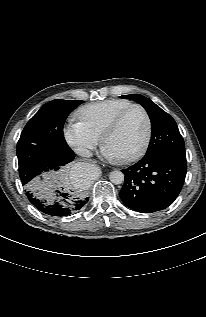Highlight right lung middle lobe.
Listing matches in <instances>:
<instances>
[{
  "label": "right lung middle lobe",
  "instance_id": "dd1d6c3e",
  "mask_svg": "<svg viewBox=\"0 0 206 317\" xmlns=\"http://www.w3.org/2000/svg\"><path fill=\"white\" fill-rule=\"evenodd\" d=\"M81 103V100H52L26 124L17 143L19 176L26 189L37 193L43 183L35 177L43 171L59 169L61 164L56 154L59 149L68 148L63 125Z\"/></svg>",
  "mask_w": 206,
  "mask_h": 317
}]
</instances>
